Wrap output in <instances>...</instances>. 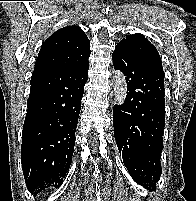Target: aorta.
Segmentation results:
<instances>
[{"label":"aorta","mask_w":196,"mask_h":201,"mask_svg":"<svg viewBox=\"0 0 196 201\" xmlns=\"http://www.w3.org/2000/svg\"><path fill=\"white\" fill-rule=\"evenodd\" d=\"M113 95L115 103L120 106L124 104L127 95V85L124 74L117 70L113 77Z\"/></svg>","instance_id":"762f6f07"}]
</instances>
